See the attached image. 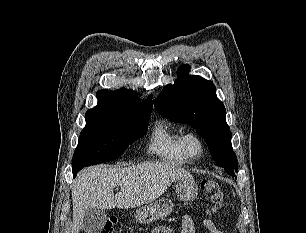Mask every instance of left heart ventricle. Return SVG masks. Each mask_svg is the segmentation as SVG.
Masks as SVG:
<instances>
[{
    "label": "left heart ventricle",
    "mask_w": 306,
    "mask_h": 233,
    "mask_svg": "<svg viewBox=\"0 0 306 233\" xmlns=\"http://www.w3.org/2000/svg\"><path fill=\"white\" fill-rule=\"evenodd\" d=\"M190 151H191L192 153H196V152L198 151V145H197L196 142L192 141V142L190 143Z\"/></svg>",
    "instance_id": "left-heart-ventricle-1"
}]
</instances>
